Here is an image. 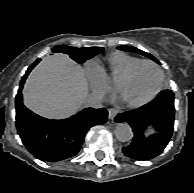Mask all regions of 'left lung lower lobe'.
Instances as JSON below:
<instances>
[{
	"instance_id": "0a47b994",
	"label": "left lung lower lobe",
	"mask_w": 194,
	"mask_h": 193,
	"mask_svg": "<svg viewBox=\"0 0 194 193\" xmlns=\"http://www.w3.org/2000/svg\"><path fill=\"white\" fill-rule=\"evenodd\" d=\"M174 116V94L170 90L160 92L157 98L138 109L119 113L115 122H127L134 132L132 142L122 149L123 153L136 160L158 156L172 136ZM149 125L155 133L145 137L144 131Z\"/></svg>"
}]
</instances>
